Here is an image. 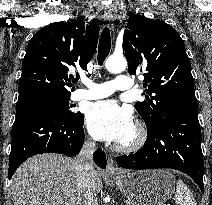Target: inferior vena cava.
<instances>
[{"instance_id": "1", "label": "inferior vena cava", "mask_w": 212, "mask_h": 205, "mask_svg": "<svg viewBox=\"0 0 212 205\" xmlns=\"http://www.w3.org/2000/svg\"><path fill=\"white\" fill-rule=\"evenodd\" d=\"M96 143L86 140L75 160L79 205H98L95 192L93 153Z\"/></svg>"}]
</instances>
